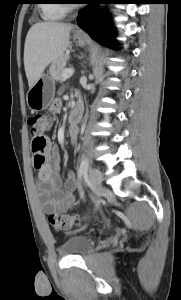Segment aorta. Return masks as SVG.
Instances as JSON below:
<instances>
[{
    "mask_svg": "<svg viewBox=\"0 0 181 300\" xmlns=\"http://www.w3.org/2000/svg\"><path fill=\"white\" fill-rule=\"evenodd\" d=\"M103 5H100V9H102L103 7H102Z\"/></svg>",
    "mask_w": 181,
    "mask_h": 300,
    "instance_id": "aorta-1",
    "label": "aorta"
}]
</instances>
